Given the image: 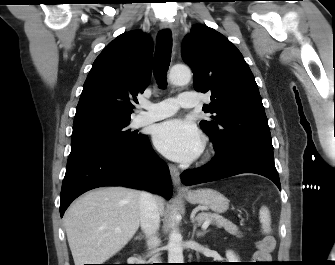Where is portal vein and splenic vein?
<instances>
[{
  "label": "portal vein and splenic vein",
  "mask_w": 335,
  "mask_h": 265,
  "mask_svg": "<svg viewBox=\"0 0 335 265\" xmlns=\"http://www.w3.org/2000/svg\"><path fill=\"white\" fill-rule=\"evenodd\" d=\"M210 222H211V220H209V219L204 221V223L202 224V228L206 229L209 226Z\"/></svg>",
  "instance_id": "portal-vein-and-splenic-vein-1"
}]
</instances>
